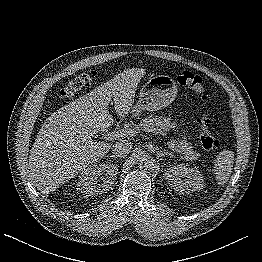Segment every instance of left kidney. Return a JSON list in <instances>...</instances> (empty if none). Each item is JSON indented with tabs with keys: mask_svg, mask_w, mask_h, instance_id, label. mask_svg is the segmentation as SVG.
Returning <instances> with one entry per match:
<instances>
[{
	"mask_svg": "<svg viewBox=\"0 0 262 262\" xmlns=\"http://www.w3.org/2000/svg\"><path fill=\"white\" fill-rule=\"evenodd\" d=\"M169 186L180 194L193 193L205 187L203 176L197 167L190 168L187 164L174 165L164 173Z\"/></svg>",
	"mask_w": 262,
	"mask_h": 262,
	"instance_id": "obj_1",
	"label": "left kidney"
}]
</instances>
